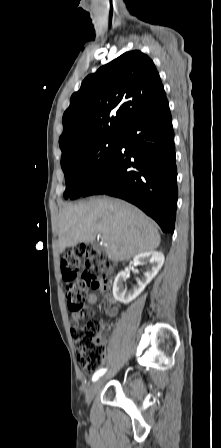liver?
<instances>
[{
    "label": "liver",
    "instance_id": "6515ba94",
    "mask_svg": "<svg viewBox=\"0 0 221 448\" xmlns=\"http://www.w3.org/2000/svg\"><path fill=\"white\" fill-rule=\"evenodd\" d=\"M101 234L108 258L125 261L154 251L161 237L153 221L135 206L113 198H94L66 206L59 215V252Z\"/></svg>",
    "mask_w": 221,
    "mask_h": 448
}]
</instances>
